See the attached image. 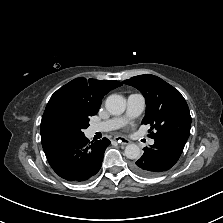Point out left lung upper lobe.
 <instances>
[{"label": "left lung upper lobe", "mask_w": 223, "mask_h": 223, "mask_svg": "<svg viewBox=\"0 0 223 223\" xmlns=\"http://www.w3.org/2000/svg\"><path fill=\"white\" fill-rule=\"evenodd\" d=\"M137 88L145 97L146 113L142 120L150 124L153 139L172 137L182 142L188 140L191 116L181 93L161 78L144 74L123 81Z\"/></svg>", "instance_id": "1"}]
</instances>
